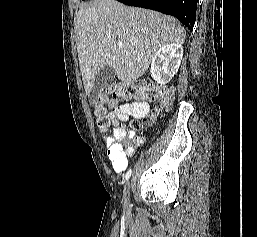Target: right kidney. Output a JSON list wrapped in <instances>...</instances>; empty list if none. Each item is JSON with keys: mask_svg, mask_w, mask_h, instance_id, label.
<instances>
[{"mask_svg": "<svg viewBox=\"0 0 257 237\" xmlns=\"http://www.w3.org/2000/svg\"><path fill=\"white\" fill-rule=\"evenodd\" d=\"M183 57V47L177 43L161 47L151 60V76L160 85L167 84L178 70Z\"/></svg>", "mask_w": 257, "mask_h": 237, "instance_id": "right-kidney-1", "label": "right kidney"}]
</instances>
